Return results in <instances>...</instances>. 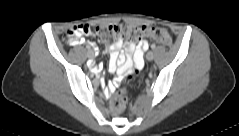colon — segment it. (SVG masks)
Listing matches in <instances>:
<instances>
[{"label": "colon", "mask_w": 239, "mask_h": 136, "mask_svg": "<svg viewBox=\"0 0 239 136\" xmlns=\"http://www.w3.org/2000/svg\"><path fill=\"white\" fill-rule=\"evenodd\" d=\"M95 34L103 41L115 42L119 37L125 35L132 41H140L146 38L154 40L163 45L171 43V35L162 28L145 26L107 25L90 27L79 24L65 32L64 40L68 44H74L82 35ZM139 68H135L126 75V79L134 80L139 76ZM127 105V97L124 89H118L110 100V109L114 114L121 113Z\"/></svg>", "instance_id": "5ec220e1"}]
</instances>
